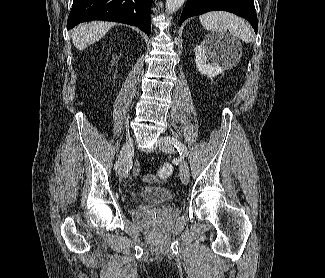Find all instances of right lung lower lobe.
Segmentation results:
<instances>
[{"instance_id": "98d812e1", "label": "right lung lower lobe", "mask_w": 325, "mask_h": 278, "mask_svg": "<svg viewBox=\"0 0 325 278\" xmlns=\"http://www.w3.org/2000/svg\"><path fill=\"white\" fill-rule=\"evenodd\" d=\"M152 0H74L68 17V29L91 20L121 22L151 32Z\"/></svg>"}]
</instances>
